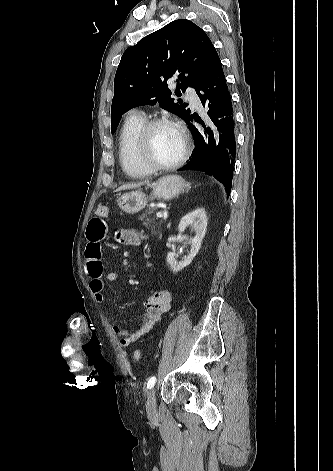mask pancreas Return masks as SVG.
Listing matches in <instances>:
<instances>
[{"label":"pancreas","instance_id":"obj_1","mask_svg":"<svg viewBox=\"0 0 333 471\" xmlns=\"http://www.w3.org/2000/svg\"><path fill=\"white\" fill-rule=\"evenodd\" d=\"M153 211L151 208L147 209L139 219L143 221V224L150 229L153 233H157L161 229V223L156 222L154 217H151Z\"/></svg>","mask_w":333,"mask_h":471}]
</instances>
